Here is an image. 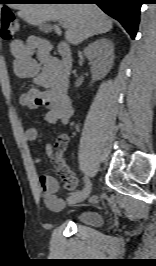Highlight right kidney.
I'll list each match as a JSON object with an SVG mask.
<instances>
[{
    "label": "right kidney",
    "instance_id": "right-kidney-1",
    "mask_svg": "<svg viewBox=\"0 0 156 266\" xmlns=\"http://www.w3.org/2000/svg\"><path fill=\"white\" fill-rule=\"evenodd\" d=\"M91 65L92 83L105 77L113 66L114 44L110 39L100 38L84 49Z\"/></svg>",
    "mask_w": 156,
    "mask_h": 266
}]
</instances>
